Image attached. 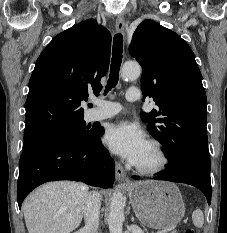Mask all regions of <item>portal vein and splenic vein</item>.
<instances>
[{"label": "portal vein and splenic vein", "instance_id": "obj_1", "mask_svg": "<svg viewBox=\"0 0 227 233\" xmlns=\"http://www.w3.org/2000/svg\"><path fill=\"white\" fill-rule=\"evenodd\" d=\"M160 233H166V231H161ZM174 233V232H173Z\"/></svg>", "mask_w": 227, "mask_h": 233}]
</instances>
